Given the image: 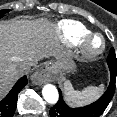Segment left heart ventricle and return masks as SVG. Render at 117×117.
<instances>
[{
    "mask_svg": "<svg viewBox=\"0 0 117 117\" xmlns=\"http://www.w3.org/2000/svg\"><path fill=\"white\" fill-rule=\"evenodd\" d=\"M100 43H101L100 39L99 38H95L92 41L91 46H92V48H98L100 46Z\"/></svg>",
    "mask_w": 117,
    "mask_h": 117,
    "instance_id": "left-heart-ventricle-1",
    "label": "left heart ventricle"
}]
</instances>
